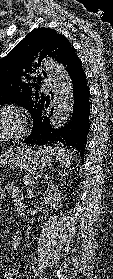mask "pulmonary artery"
Masks as SVG:
<instances>
[{
  "mask_svg": "<svg viewBox=\"0 0 113 279\" xmlns=\"http://www.w3.org/2000/svg\"><path fill=\"white\" fill-rule=\"evenodd\" d=\"M43 87H44L45 89H48V88L50 87V83H49L48 81H44Z\"/></svg>",
  "mask_w": 113,
  "mask_h": 279,
  "instance_id": "obj_1",
  "label": "pulmonary artery"
}]
</instances>
